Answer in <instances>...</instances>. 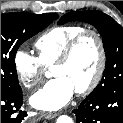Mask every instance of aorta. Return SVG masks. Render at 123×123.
Segmentation results:
<instances>
[{
	"label": "aorta",
	"instance_id": "762f6f07",
	"mask_svg": "<svg viewBox=\"0 0 123 123\" xmlns=\"http://www.w3.org/2000/svg\"><path fill=\"white\" fill-rule=\"evenodd\" d=\"M56 123H73V120L67 115H61L57 118Z\"/></svg>",
	"mask_w": 123,
	"mask_h": 123
}]
</instances>
